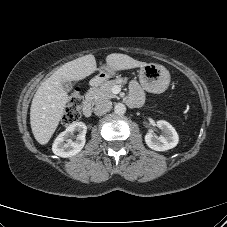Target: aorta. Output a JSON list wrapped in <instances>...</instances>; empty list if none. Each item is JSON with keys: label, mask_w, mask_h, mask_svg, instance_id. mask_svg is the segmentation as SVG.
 I'll use <instances>...</instances> for the list:
<instances>
[{"label": "aorta", "mask_w": 227, "mask_h": 227, "mask_svg": "<svg viewBox=\"0 0 227 227\" xmlns=\"http://www.w3.org/2000/svg\"><path fill=\"white\" fill-rule=\"evenodd\" d=\"M114 112L117 115H123L126 112V106L123 103H117L114 107Z\"/></svg>", "instance_id": "aorta-1"}]
</instances>
